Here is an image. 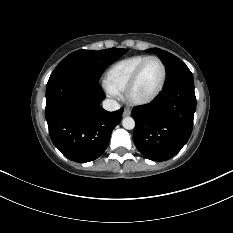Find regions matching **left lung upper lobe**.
Segmentation results:
<instances>
[{
  "label": "left lung upper lobe",
  "mask_w": 233,
  "mask_h": 233,
  "mask_svg": "<svg viewBox=\"0 0 233 233\" xmlns=\"http://www.w3.org/2000/svg\"><path fill=\"white\" fill-rule=\"evenodd\" d=\"M147 51L156 53L166 67L167 79L164 88L180 83H194L191 71L178 57L159 48H152Z\"/></svg>",
  "instance_id": "1"
}]
</instances>
